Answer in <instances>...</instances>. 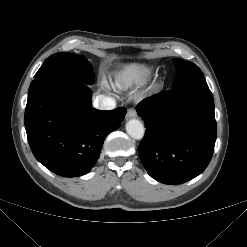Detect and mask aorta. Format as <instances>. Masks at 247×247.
Listing matches in <instances>:
<instances>
[{"mask_svg": "<svg viewBox=\"0 0 247 247\" xmlns=\"http://www.w3.org/2000/svg\"><path fill=\"white\" fill-rule=\"evenodd\" d=\"M126 132L136 140L143 138L145 129L141 121L137 119H131L126 123Z\"/></svg>", "mask_w": 247, "mask_h": 247, "instance_id": "aorta-1", "label": "aorta"}]
</instances>
